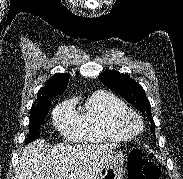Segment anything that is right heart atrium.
Segmentation results:
<instances>
[{"mask_svg":"<svg viewBox=\"0 0 183 179\" xmlns=\"http://www.w3.org/2000/svg\"><path fill=\"white\" fill-rule=\"evenodd\" d=\"M53 120L57 129L64 136L74 139L80 135V117L76 113L72 101H65L58 105L54 110Z\"/></svg>","mask_w":183,"mask_h":179,"instance_id":"right-heart-atrium-1","label":"right heart atrium"}]
</instances>
